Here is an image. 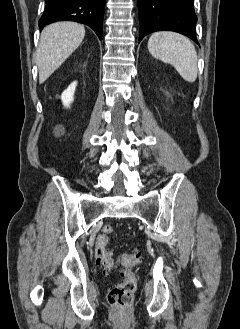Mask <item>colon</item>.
Returning a JSON list of instances; mask_svg holds the SVG:
<instances>
[{
    "label": "colon",
    "instance_id": "5ec220e1",
    "mask_svg": "<svg viewBox=\"0 0 240 329\" xmlns=\"http://www.w3.org/2000/svg\"><path fill=\"white\" fill-rule=\"evenodd\" d=\"M113 233L111 225L103 226L96 241L95 255L104 269L110 270L116 265V261L112 258L111 252L107 248L109 236ZM142 255L139 251L123 253L119 257L122 265V280L113 285L107 293L108 302L123 310L129 309L134 301V293L136 290V278L132 272V268L140 262Z\"/></svg>",
    "mask_w": 240,
    "mask_h": 329
}]
</instances>
